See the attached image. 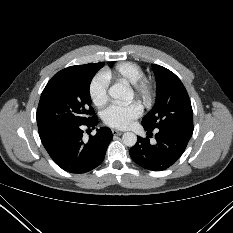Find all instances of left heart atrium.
I'll return each mask as SVG.
<instances>
[{"label":"left heart atrium","mask_w":233,"mask_h":233,"mask_svg":"<svg viewBox=\"0 0 233 233\" xmlns=\"http://www.w3.org/2000/svg\"><path fill=\"white\" fill-rule=\"evenodd\" d=\"M143 108L138 102L129 104H112L103 113L104 123L110 127L127 129L135 119L142 115Z\"/></svg>","instance_id":"39dd6f15"}]
</instances>
